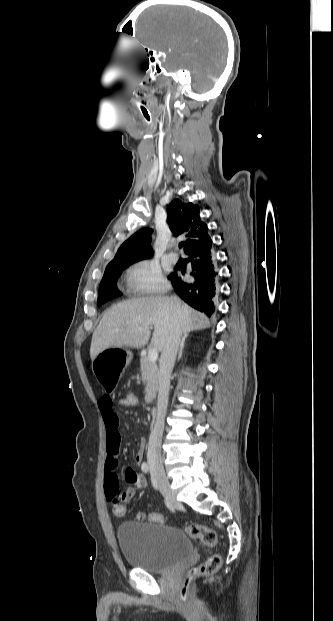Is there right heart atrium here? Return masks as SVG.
I'll return each mask as SVG.
<instances>
[{"mask_svg":"<svg viewBox=\"0 0 333 621\" xmlns=\"http://www.w3.org/2000/svg\"><path fill=\"white\" fill-rule=\"evenodd\" d=\"M127 283L129 290L139 295L161 294L168 288L159 267L148 260L139 261L131 267Z\"/></svg>","mask_w":333,"mask_h":621,"instance_id":"1","label":"right heart atrium"}]
</instances>
